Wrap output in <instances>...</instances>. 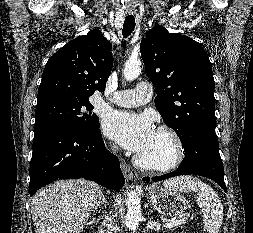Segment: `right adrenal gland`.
<instances>
[{
  "mask_svg": "<svg viewBox=\"0 0 253 233\" xmlns=\"http://www.w3.org/2000/svg\"><path fill=\"white\" fill-rule=\"evenodd\" d=\"M101 205H104L105 207L107 206V201L103 194L100 196L98 202L96 203L94 207V212L97 211V208L100 207Z\"/></svg>",
  "mask_w": 253,
  "mask_h": 233,
  "instance_id": "2a0ac1e0",
  "label": "right adrenal gland"
}]
</instances>
